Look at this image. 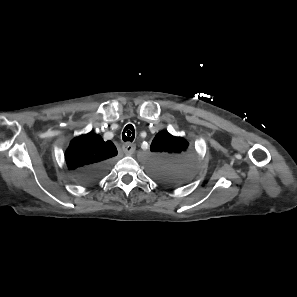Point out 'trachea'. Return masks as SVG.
<instances>
[{
    "label": "trachea",
    "mask_w": 297,
    "mask_h": 297,
    "mask_svg": "<svg viewBox=\"0 0 297 297\" xmlns=\"http://www.w3.org/2000/svg\"><path fill=\"white\" fill-rule=\"evenodd\" d=\"M135 138V131L132 124H128L123 133H122V139L124 142H132Z\"/></svg>",
    "instance_id": "1"
}]
</instances>
